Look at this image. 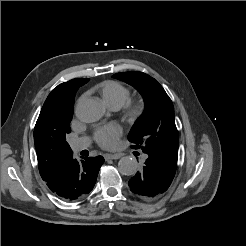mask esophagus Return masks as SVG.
<instances>
[{
	"instance_id": "1",
	"label": "esophagus",
	"mask_w": 246,
	"mask_h": 246,
	"mask_svg": "<svg viewBox=\"0 0 246 246\" xmlns=\"http://www.w3.org/2000/svg\"><path fill=\"white\" fill-rule=\"evenodd\" d=\"M121 156H122L121 154H105L104 158H105V160L119 159Z\"/></svg>"
}]
</instances>
